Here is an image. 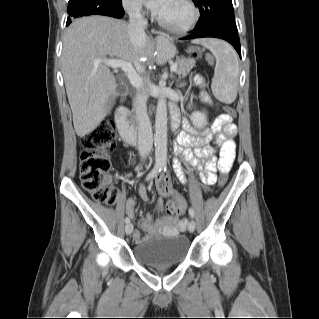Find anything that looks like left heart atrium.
I'll list each match as a JSON object with an SVG mask.
<instances>
[{
	"label": "left heart atrium",
	"mask_w": 319,
	"mask_h": 319,
	"mask_svg": "<svg viewBox=\"0 0 319 319\" xmlns=\"http://www.w3.org/2000/svg\"><path fill=\"white\" fill-rule=\"evenodd\" d=\"M155 14L159 15L164 10L168 0H141Z\"/></svg>",
	"instance_id": "left-heart-atrium-1"
}]
</instances>
